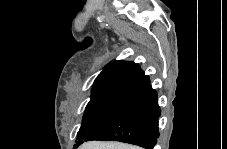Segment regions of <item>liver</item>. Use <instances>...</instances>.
I'll list each match as a JSON object with an SVG mask.
<instances>
[{
  "label": "liver",
  "mask_w": 227,
  "mask_h": 149,
  "mask_svg": "<svg viewBox=\"0 0 227 149\" xmlns=\"http://www.w3.org/2000/svg\"><path fill=\"white\" fill-rule=\"evenodd\" d=\"M80 149H139V147L119 142L91 141L83 144Z\"/></svg>",
  "instance_id": "1"
}]
</instances>
